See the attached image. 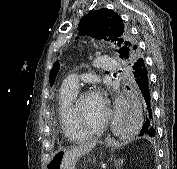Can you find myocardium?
<instances>
[{"mask_svg": "<svg viewBox=\"0 0 177 169\" xmlns=\"http://www.w3.org/2000/svg\"><path fill=\"white\" fill-rule=\"evenodd\" d=\"M87 95H89L88 91L80 92L79 94H77V96L73 102V105H72V115H73V120H74L76 130L78 131L79 134L84 135L86 137L100 134L101 132H103L106 129V127L108 126L109 121H110V111L106 108L104 119H103L102 123L99 124L98 126L89 127L83 123V121L80 117L78 108H79V104H80L81 100L83 99V97H85Z\"/></svg>", "mask_w": 177, "mask_h": 169, "instance_id": "myocardium-1", "label": "myocardium"}]
</instances>
